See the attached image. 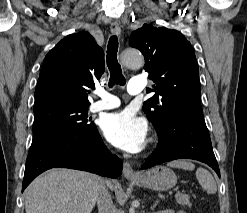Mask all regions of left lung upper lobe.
Masks as SVG:
<instances>
[{
	"mask_svg": "<svg viewBox=\"0 0 247 213\" xmlns=\"http://www.w3.org/2000/svg\"><path fill=\"white\" fill-rule=\"evenodd\" d=\"M131 47L145 57L144 69L153 80L155 95L144 102L143 111L157 131L179 114L203 117L199 70L189 41L180 32L144 24L132 32Z\"/></svg>",
	"mask_w": 247,
	"mask_h": 213,
	"instance_id": "5c2ea615",
	"label": "left lung upper lobe"
}]
</instances>
